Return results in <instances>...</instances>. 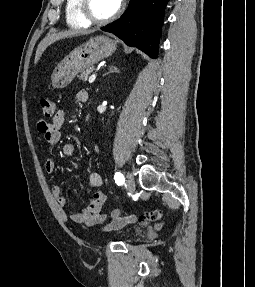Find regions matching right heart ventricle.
Instances as JSON below:
<instances>
[{
	"instance_id": "1",
	"label": "right heart ventricle",
	"mask_w": 255,
	"mask_h": 287,
	"mask_svg": "<svg viewBox=\"0 0 255 287\" xmlns=\"http://www.w3.org/2000/svg\"><path fill=\"white\" fill-rule=\"evenodd\" d=\"M84 39H90V38H84ZM87 48H90V47H87Z\"/></svg>"
}]
</instances>
